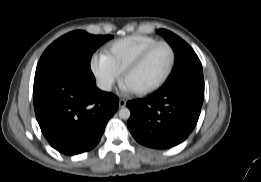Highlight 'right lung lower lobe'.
I'll list each match as a JSON object with an SVG mask.
<instances>
[{"instance_id": "right-lung-lower-lobe-1", "label": "right lung lower lobe", "mask_w": 261, "mask_h": 182, "mask_svg": "<svg viewBox=\"0 0 261 182\" xmlns=\"http://www.w3.org/2000/svg\"><path fill=\"white\" fill-rule=\"evenodd\" d=\"M33 101L37 121L50 145L66 155L95 147L119 99L87 84L68 68L34 79Z\"/></svg>"}]
</instances>
